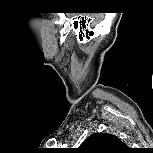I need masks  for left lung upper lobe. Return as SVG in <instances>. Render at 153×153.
<instances>
[{"mask_svg": "<svg viewBox=\"0 0 153 153\" xmlns=\"http://www.w3.org/2000/svg\"><path fill=\"white\" fill-rule=\"evenodd\" d=\"M125 148L116 136L95 133L89 136L79 147L83 153H113Z\"/></svg>", "mask_w": 153, "mask_h": 153, "instance_id": "obj_1", "label": "left lung upper lobe"}]
</instances>
